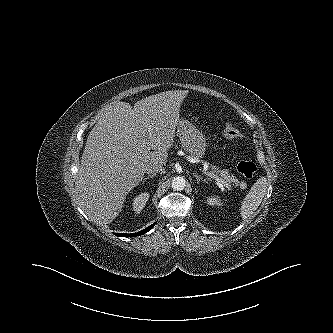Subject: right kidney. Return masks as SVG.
Masks as SVG:
<instances>
[{
  "instance_id": "1",
  "label": "right kidney",
  "mask_w": 333,
  "mask_h": 333,
  "mask_svg": "<svg viewBox=\"0 0 333 333\" xmlns=\"http://www.w3.org/2000/svg\"><path fill=\"white\" fill-rule=\"evenodd\" d=\"M149 199V193L144 192L139 194L136 198L133 200V210L136 213H139L146 205V202Z\"/></svg>"
}]
</instances>
